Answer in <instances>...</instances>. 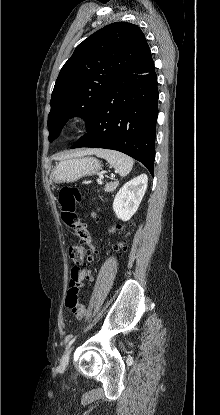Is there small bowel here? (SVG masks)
<instances>
[{
  "mask_svg": "<svg viewBox=\"0 0 220 415\" xmlns=\"http://www.w3.org/2000/svg\"><path fill=\"white\" fill-rule=\"evenodd\" d=\"M80 271V275L82 278V281L86 278V274H87V268L84 267L82 269H79ZM70 310L73 312V314L78 318V319H83L86 315V313H80L77 309L75 308H70Z\"/></svg>",
  "mask_w": 220,
  "mask_h": 415,
  "instance_id": "small-bowel-1",
  "label": "small bowel"
}]
</instances>
